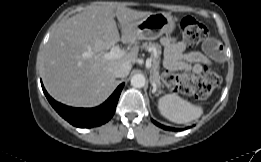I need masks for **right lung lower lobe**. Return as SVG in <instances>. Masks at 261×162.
I'll use <instances>...</instances> for the list:
<instances>
[{
  "mask_svg": "<svg viewBox=\"0 0 261 162\" xmlns=\"http://www.w3.org/2000/svg\"><path fill=\"white\" fill-rule=\"evenodd\" d=\"M41 85L46 98L56 112L70 124L79 128L96 127L109 121L114 115L119 96L124 86V84L119 85L113 94L98 107L73 108L55 101L49 96L42 83Z\"/></svg>",
  "mask_w": 261,
  "mask_h": 162,
  "instance_id": "1",
  "label": "right lung lower lobe"
}]
</instances>
